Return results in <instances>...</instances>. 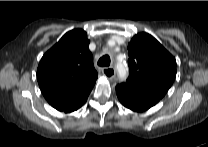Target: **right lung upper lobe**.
I'll return each mask as SVG.
<instances>
[{"label": "right lung upper lobe", "mask_w": 208, "mask_h": 147, "mask_svg": "<svg viewBox=\"0 0 208 147\" xmlns=\"http://www.w3.org/2000/svg\"><path fill=\"white\" fill-rule=\"evenodd\" d=\"M87 33L82 29L67 32L38 66L37 80L51 106L68 112L86 102L98 73L93 66Z\"/></svg>", "instance_id": "right-lung-upper-lobe-1"}]
</instances>
